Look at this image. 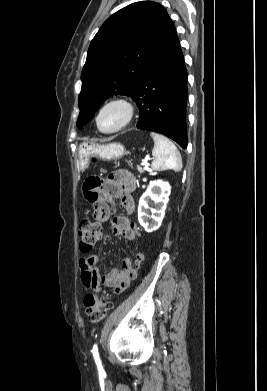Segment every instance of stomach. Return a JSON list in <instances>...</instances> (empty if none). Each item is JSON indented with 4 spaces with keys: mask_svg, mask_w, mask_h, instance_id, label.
Masks as SVG:
<instances>
[{
    "mask_svg": "<svg viewBox=\"0 0 267 391\" xmlns=\"http://www.w3.org/2000/svg\"><path fill=\"white\" fill-rule=\"evenodd\" d=\"M125 154V147L118 142L108 144L82 143L78 149L77 168L79 171H85L89 167L92 156H97L102 160H114L122 158Z\"/></svg>",
    "mask_w": 267,
    "mask_h": 391,
    "instance_id": "obj_1",
    "label": "stomach"
}]
</instances>
